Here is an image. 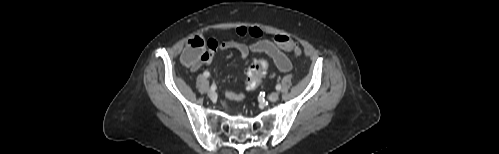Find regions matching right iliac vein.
I'll return each instance as SVG.
<instances>
[{
    "mask_svg": "<svg viewBox=\"0 0 499 154\" xmlns=\"http://www.w3.org/2000/svg\"><path fill=\"white\" fill-rule=\"evenodd\" d=\"M208 97H209L211 100H215V99H217V94H216V92H214V91H209V92H208Z\"/></svg>",
    "mask_w": 499,
    "mask_h": 154,
    "instance_id": "1",
    "label": "right iliac vein"
}]
</instances>
